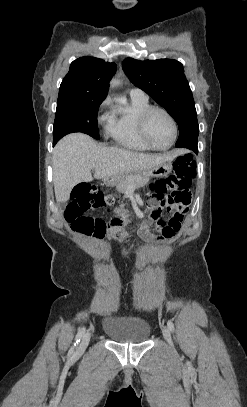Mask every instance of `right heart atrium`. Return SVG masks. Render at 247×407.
Instances as JSON below:
<instances>
[{"label": "right heart atrium", "instance_id": "obj_1", "mask_svg": "<svg viewBox=\"0 0 247 407\" xmlns=\"http://www.w3.org/2000/svg\"><path fill=\"white\" fill-rule=\"evenodd\" d=\"M109 100L105 99L101 104V112L99 113L98 120L102 123H106L107 125L110 122V113L105 110L108 106Z\"/></svg>", "mask_w": 247, "mask_h": 407}]
</instances>
